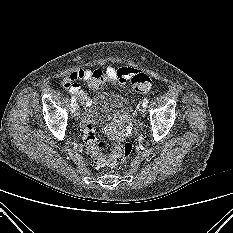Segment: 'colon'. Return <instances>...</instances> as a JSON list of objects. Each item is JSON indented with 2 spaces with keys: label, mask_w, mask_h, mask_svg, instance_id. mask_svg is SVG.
<instances>
[{
  "label": "colon",
  "mask_w": 233,
  "mask_h": 233,
  "mask_svg": "<svg viewBox=\"0 0 233 233\" xmlns=\"http://www.w3.org/2000/svg\"><path fill=\"white\" fill-rule=\"evenodd\" d=\"M117 81L116 78L108 76L101 70H94L87 80V84L89 88L97 90L105 84H116ZM131 82L133 87L140 92H148L152 87L151 78L142 72L136 73L132 77ZM83 140L86 152L96 166L122 164L126 162L133 149L130 143H120L115 145L110 152L104 153L103 143L98 141L95 131L90 125H86L83 128Z\"/></svg>",
  "instance_id": "obj_1"
}]
</instances>
